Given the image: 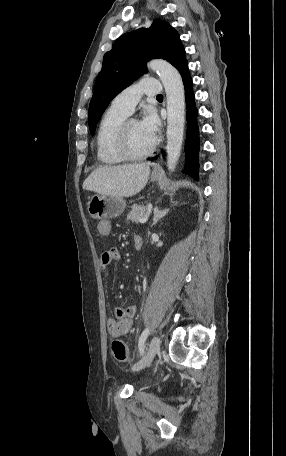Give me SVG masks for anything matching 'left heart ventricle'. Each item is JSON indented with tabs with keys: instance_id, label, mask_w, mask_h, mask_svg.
<instances>
[{
	"instance_id": "1",
	"label": "left heart ventricle",
	"mask_w": 286,
	"mask_h": 456,
	"mask_svg": "<svg viewBox=\"0 0 286 456\" xmlns=\"http://www.w3.org/2000/svg\"><path fill=\"white\" fill-rule=\"evenodd\" d=\"M153 142L138 121L130 123L128 129V147L132 154L138 155L146 152Z\"/></svg>"
}]
</instances>
